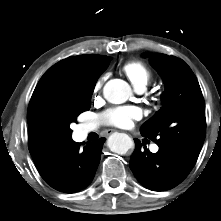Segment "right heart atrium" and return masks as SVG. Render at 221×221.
Here are the masks:
<instances>
[{
    "mask_svg": "<svg viewBox=\"0 0 221 221\" xmlns=\"http://www.w3.org/2000/svg\"><path fill=\"white\" fill-rule=\"evenodd\" d=\"M102 84H103V79H99V80L96 82V84H95V87H94L95 91L100 90Z\"/></svg>",
    "mask_w": 221,
    "mask_h": 221,
    "instance_id": "1",
    "label": "right heart atrium"
}]
</instances>
